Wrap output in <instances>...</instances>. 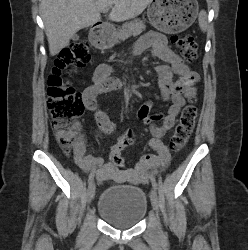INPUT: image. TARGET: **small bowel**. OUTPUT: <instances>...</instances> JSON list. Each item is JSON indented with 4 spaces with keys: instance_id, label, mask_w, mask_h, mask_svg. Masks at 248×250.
I'll return each mask as SVG.
<instances>
[{
    "instance_id": "c3829d8e",
    "label": "small bowel",
    "mask_w": 248,
    "mask_h": 250,
    "mask_svg": "<svg viewBox=\"0 0 248 250\" xmlns=\"http://www.w3.org/2000/svg\"><path fill=\"white\" fill-rule=\"evenodd\" d=\"M134 54L149 52L156 59L165 64L156 66L161 95L171 102L165 114L153 112V103L145 102L138 111L139 119L149 126L152 135L149 145L156 151V155L146 154L138 161L134 168L119 170L112 163H104L100 157L86 154L87 140L81 126L76 124L78 132L74 144L75 162L84 171L96 175L100 182L129 181L137 184L164 170L171 161V154L162 138L173 128L176 119L185 105L187 99L196 96L195 84L198 74L192 70L182 58L168 47L165 35L158 32H148L137 41L133 48ZM179 75L178 80H173L172 75ZM123 83L111 76V67L100 64L95 71L93 83L86 87L82 93L85 107L94 112L99 131H94L96 136L114 133L115 127L108 115L100 110L97 105V97L112 90L119 89ZM131 144L135 138L132 134L125 137Z\"/></svg>"
}]
</instances>
